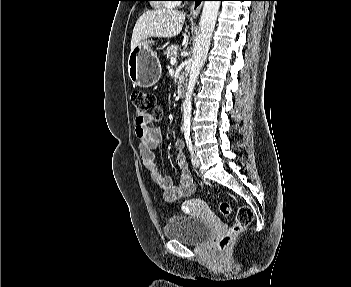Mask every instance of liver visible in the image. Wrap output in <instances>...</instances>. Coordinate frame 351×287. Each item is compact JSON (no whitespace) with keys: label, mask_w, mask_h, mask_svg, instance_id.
Returning <instances> with one entry per match:
<instances>
[{"label":"liver","mask_w":351,"mask_h":287,"mask_svg":"<svg viewBox=\"0 0 351 287\" xmlns=\"http://www.w3.org/2000/svg\"><path fill=\"white\" fill-rule=\"evenodd\" d=\"M185 14L172 9L146 11L137 20L131 39V50L142 40L150 37L172 38L177 36L183 27Z\"/></svg>","instance_id":"obj_1"}]
</instances>
